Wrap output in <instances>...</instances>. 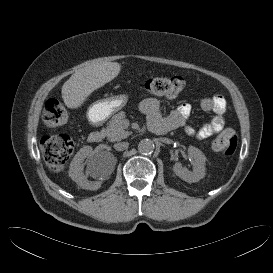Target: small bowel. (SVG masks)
<instances>
[{
  "label": "small bowel",
  "mask_w": 273,
  "mask_h": 273,
  "mask_svg": "<svg viewBox=\"0 0 273 273\" xmlns=\"http://www.w3.org/2000/svg\"><path fill=\"white\" fill-rule=\"evenodd\" d=\"M141 111L147 116V120L161 118L159 102L155 98H146L141 102ZM201 108L204 111L214 112V116L200 128L195 129L187 123L191 112L188 104H181L173 110L168 116L162 118L167 121L169 129L182 128L185 132L198 139H206L221 132L224 128V111L226 109V100L222 95H214L203 98Z\"/></svg>",
  "instance_id": "1"
}]
</instances>
